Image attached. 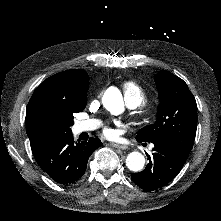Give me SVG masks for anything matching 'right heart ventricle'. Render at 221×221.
Here are the masks:
<instances>
[{
	"instance_id": "1",
	"label": "right heart ventricle",
	"mask_w": 221,
	"mask_h": 221,
	"mask_svg": "<svg viewBox=\"0 0 221 221\" xmlns=\"http://www.w3.org/2000/svg\"><path fill=\"white\" fill-rule=\"evenodd\" d=\"M148 99V96L146 93L143 94V100H147Z\"/></svg>"
}]
</instances>
